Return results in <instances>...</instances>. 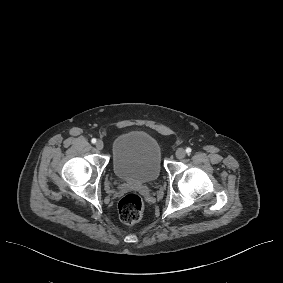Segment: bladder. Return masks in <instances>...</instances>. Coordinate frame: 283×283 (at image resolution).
I'll return each instance as SVG.
<instances>
[{"label": "bladder", "mask_w": 283, "mask_h": 283, "mask_svg": "<svg viewBox=\"0 0 283 283\" xmlns=\"http://www.w3.org/2000/svg\"><path fill=\"white\" fill-rule=\"evenodd\" d=\"M113 171L121 180L154 182L161 172V151L157 141L140 131L117 137L113 145Z\"/></svg>", "instance_id": "31cf9c89"}]
</instances>
